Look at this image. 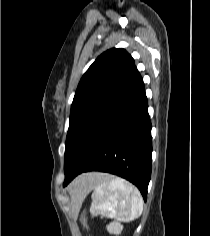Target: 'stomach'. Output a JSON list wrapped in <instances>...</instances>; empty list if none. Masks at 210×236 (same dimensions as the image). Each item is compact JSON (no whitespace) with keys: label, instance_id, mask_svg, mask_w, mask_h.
<instances>
[{"label":"stomach","instance_id":"0dacf381","mask_svg":"<svg viewBox=\"0 0 210 236\" xmlns=\"http://www.w3.org/2000/svg\"><path fill=\"white\" fill-rule=\"evenodd\" d=\"M81 224L83 225V228H88L87 222H86V217L84 214L82 215V218H81Z\"/></svg>","mask_w":210,"mask_h":236}]
</instances>
